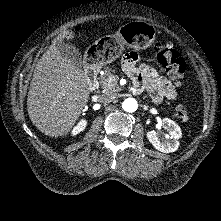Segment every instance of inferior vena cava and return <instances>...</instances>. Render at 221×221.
Instances as JSON below:
<instances>
[{"label":"inferior vena cava","mask_w":221,"mask_h":221,"mask_svg":"<svg viewBox=\"0 0 221 221\" xmlns=\"http://www.w3.org/2000/svg\"><path fill=\"white\" fill-rule=\"evenodd\" d=\"M115 96L109 92H106L100 96V100L105 103H110L114 101Z\"/></svg>","instance_id":"obj_1"}]
</instances>
